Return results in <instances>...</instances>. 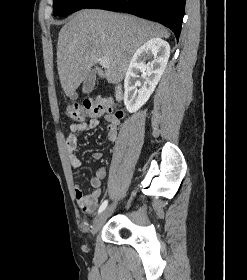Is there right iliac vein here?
Listing matches in <instances>:
<instances>
[{
	"instance_id": "obj_1",
	"label": "right iliac vein",
	"mask_w": 247,
	"mask_h": 280,
	"mask_svg": "<svg viewBox=\"0 0 247 280\" xmlns=\"http://www.w3.org/2000/svg\"><path fill=\"white\" fill-rule=\"evenodd\" d=\"M113 206L109 207L108 209H106L104 212H102L93 222V226H92V234L95 235L100 228L102 227L107 215L112 211Z\"/></svg>"
}]
</instances>
